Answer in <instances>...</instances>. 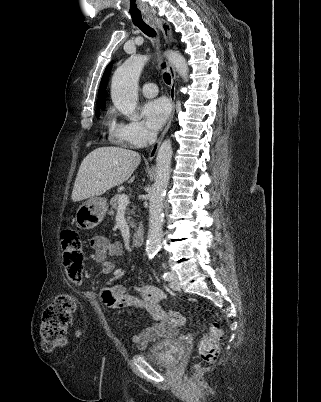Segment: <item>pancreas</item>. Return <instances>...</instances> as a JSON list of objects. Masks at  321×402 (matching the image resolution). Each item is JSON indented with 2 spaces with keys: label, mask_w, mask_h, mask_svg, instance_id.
<instances>
[{
  "label": "pancreas",
  "mask_w": 321,
  "mask_h": 402,
  "mask_svg": "<svg viewBox=\"0 0 321 402\" xmlns=\"http://www.w3.org/2000/svg\"><path fill=\"white\" fill-rule=\"evenodd\" d=\"M120 196H121V194H117L113 198H111V200H110L111 208L108 212L109 215H111V216L114 215L115 210L118 207V200H119ZM134 210H135V208L133 207L132 209H127V212H126V215H127L126 220H127L128 224L130 225V227H132V228H134V221H133L131 215L134 214Z\"/></svg>",
  "instance_id": "pancreas-1"
}]
</instances>
